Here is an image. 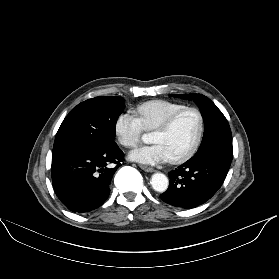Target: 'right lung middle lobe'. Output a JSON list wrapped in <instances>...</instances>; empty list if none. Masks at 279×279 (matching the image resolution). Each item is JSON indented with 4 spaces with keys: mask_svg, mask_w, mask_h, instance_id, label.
Masks as SVG:
<instances>
[{
    "mask_svg": "<svg viewBox=\"0 0 279 279\" xmlns=\"http://www.w3.org/2000/svg\"><path fill=\"white\" fill-rule=\"evenodd\" d=\"M123 109V99L113 96L78 104L62 122L52 153L98 150L114 142L116 122Z\"/></svg>",
    "mask_w": 279,
    "mask_h": 279,
    "instance_id": "dd1d6c3e",
    "label": "right lung middle lobe"
}]
</instances>
